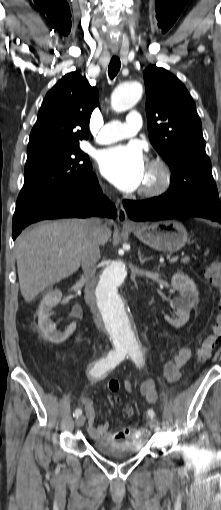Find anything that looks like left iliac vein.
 I'll use <instances>...</instances> for the list:
<instances>
[{
  "label": "left iliac vein",
  "mask_w": 221,
  "mask_h": 510,
  "mask_svg": "<svg viewBox=\"0 0 221 510\" xmlns=\"http://www.w3.org/2000/svg\"><path fill=\"white\" fill-rule=\"evenodd\" d=\"M150 428L154 431H157L159 429V421L155 418L150 419Z\"/></svg>",
  "instance_id": "4c4485c4"
}]
</instances>
